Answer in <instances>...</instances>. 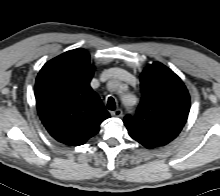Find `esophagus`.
Here are the masks:
<instances>
[{
	"label": "esophagus",
	"mask_w": 220,
	"mask_h": 196,
	"mask_svg": "<svg viewBox=\"0 0 220 196\" xmlns=\"http://www.w3.org/2000/svg\"><path fill=\"white\" fill-rule=\"evenodd\" d=\"M111 115L114 117L121 118L123 116V111L121 109H116L111 112Z\"/></svg>",
	"instance_id": "34e87169"
}]
</instances>
